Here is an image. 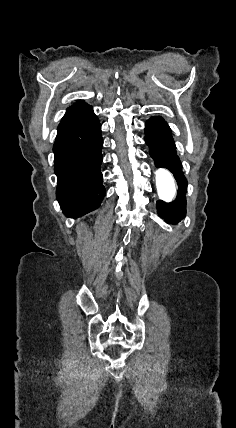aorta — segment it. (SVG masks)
Returning <instances> with one entry per match:
<instances>
[{"instance_id":"aorta-1","label":"aorta","mask_w":236,"mask_h":428,"mask_svg":"<svg viewBox=\"0 0 236 428\" xmlns=\"http://www.w3.org/2000/svg\"><path fill=\"white\" fill-rule=\"evenodd\" d=\"M158 196L165 202L172 201L176 195V185L173 175L164 168L155 172Z\"/></svg>"}]
</instances>
